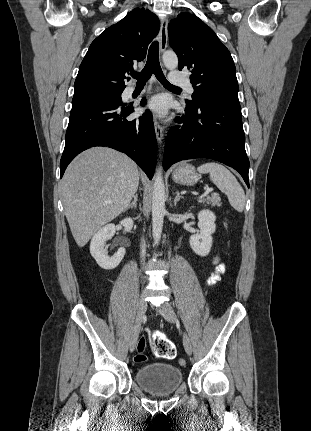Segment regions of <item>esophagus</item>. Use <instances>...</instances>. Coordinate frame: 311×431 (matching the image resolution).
Masks as SVG:
<instances>
[{
  "label": "esophagus",
  "mask_w": 311,
  "mask_h": 431,
  "mask_svg": "<svg viewBox=\"0 0 311 431\" xmlns=\"http://www.w3.org/2000/svg\"><path fill=\"white\" fill-rule=\"evenodd\" d=\"M167 25H168V19L166 17L162 18L160 36H159V42H160L159 47L162 53L167 48ZM154 128H155L156 139L158 143L161 145L164 140V127H162L156 115H154Z\"/></svg>",
  "instance_id": "esophagus-1"
}]
</instances>
